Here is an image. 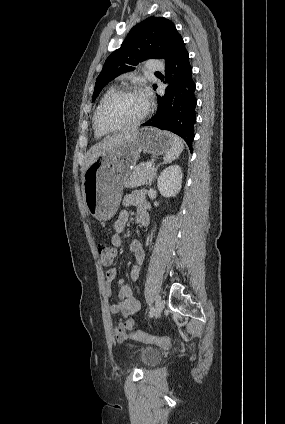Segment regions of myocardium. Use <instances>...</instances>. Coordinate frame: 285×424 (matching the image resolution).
I'll return each mask as SVG.
<instances>
[{
    "mask_svg": "<svg viewBox=\"0 0 285 424\" xmlns=\"http://www.w3.org/2000/svg\"><path fill=\"white\" fill-rule=\"evenodd\" d=\"M130 94H139L138 89L134 88V87H129V88H123L120 90H116L115 92H113L111 95H109L101 104L100 106L97 108L95 115H94V125L96 127V129L101 132V133H110V132H117V131H122V130H126V129H130L132 127H135L137 125H139L140 123H142L149 115L150 113V107L149 105L147 106L146 111L137 119H135L132 122L129 123H125L122 125H117V126H103L100 123V115L103 111V109L109 104L111 103L113 100L125 96V95H130Z\"/></svg>",
    "mask_w": 285,
    "mask_h": 424,
    "instance_id": "1",
    "label": "myocardium"
}]
</instances>
